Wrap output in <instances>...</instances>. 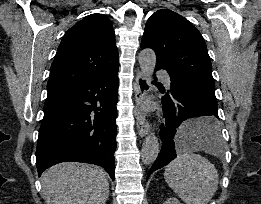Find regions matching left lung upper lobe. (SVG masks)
Here are the masks:
<instances>
[{
	"instance_id": "1",
	"label": "left lung upper lobe",
	"mask_w": 261,
	"mask_h": 204,
	"mask_svg": "<svg viewBox=\"0 0 261 204\" xmlns=\"http://www.w3.org/2000/svg\"><path fill=\"white\" fill-rule=\"evenodd\" d=\"M141 48L156 53V67L165 69L171 87L191 83L215 96L211 61L200 32L186 18L169 9L155 12L147 21Z\"/></svg>"
}]
</instances>
